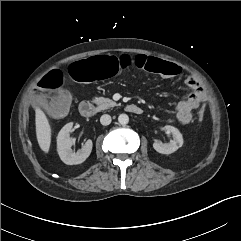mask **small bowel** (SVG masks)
Here are the masks:
<instances>
[{
    "label": "small bowel",
    "mask_w": 241,
    "mask_h": 241,
    "mask_svg": "<svg viewBox=\"0 0 241 241\" xmlns=\"http://www.w3.org/2000/svg\"><path fill=\"white\" fill-rule=\"evenodd\" d=\"M185 82L193 91L185 99L179 101L176 107V118L183 125L191 122L192 110L198 108L206 99V92L196 77L187 76Z\"/></svg>",
    "instance_id": "1"
}]
</instances>
